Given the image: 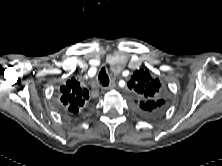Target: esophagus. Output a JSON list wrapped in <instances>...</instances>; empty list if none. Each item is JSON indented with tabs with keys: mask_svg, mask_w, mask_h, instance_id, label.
I'll use <instances>...</instances> for the list:
<instances>
[{
	"mask_svg": "<svg viewBox=\"0 0 222 166\" xmlns=\"http://www.w3.org/2000/svg\"><path fill=\"white\" fill-rule=\"evenodd\" d=\"M115 87V83L112 82L108 87H102L101 92L106 93L109 90H112Z\"/></svg>",
	"mask_w": 222,
	"mask_h": 166,
	"instance_id": "esophagus-1",
	"label": "esophagus"
}]
</instances>
